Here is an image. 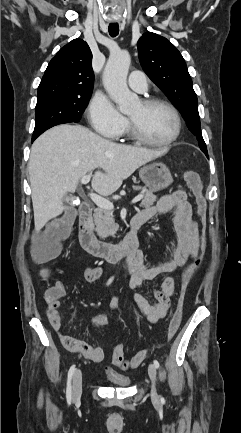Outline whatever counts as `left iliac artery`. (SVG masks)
I'll use <instances>...</instances> for the list:
<instances>
[{
    "mask_svg": "<svg viewBox=\"0 0 241 433\" xmlns=\"http://www.w3.org/2000/svg\"><path fill=\"white\" fill-rule=\"evenodd\" d=\"M153 363H154V366H155L156 368H159L160 365H159V362H158L157 360H154Z\"/></svg>",
    "mask_w": 241,
    "mask_h": 433,
    "instance_id": "left-iliac-artery-1",
    "label": "left iliac artery"
}]
</instances>
